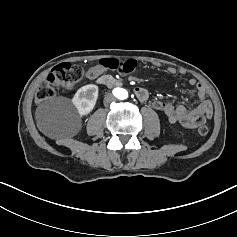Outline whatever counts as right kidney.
Returning a JSON list of instances; mask_svg holds the SVG:
<instances>
[{"label":"right kidney","instance_id":"ca27d5eb","mask_svg":"<svg viewBox=\"0 0 237 237\" xmlns=\"http://www.w3.org/2000/svg\"><path fill=\"white\" fill-rule=\"evenodd\" d=\"M99 96V88L95 84H87L79 88L72 98L81 118L88 116L94 109Z\"/></svg>","mask_w":237,"mask_h":237}]
</instances>
